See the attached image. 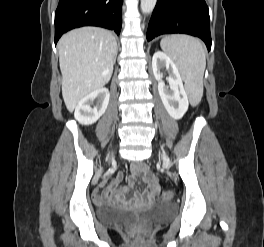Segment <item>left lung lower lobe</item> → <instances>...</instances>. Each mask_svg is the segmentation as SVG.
Instances as JSON below:
<instances>
[{
	"label": "left lung lower lobe",
	"mask_w": 264,
	"mask_h": 247,
	"mask_svg": "<svg viewBox=\"0 0 264 247\" xmlns=\"http://www.w3.org/2000/svg\"><path fill=\"white\" fill-rule=\"evenodd\" d=\"M171 33L199 37L210 50V17L205 0H158L148 25L147 40Z\"/></svg>",
	"instance_id": "obj_1"
}]
</instances>
